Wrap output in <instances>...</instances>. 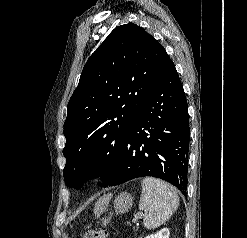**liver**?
Instances as JSON below:
<instances>
[{
	"label": "liver",
	"mask_w": 247,
	"mask_h": 238,
	"mask_svg": "<svg viewBox=\"0 0 247 238\" xmlns=\"http://www.w3.org/2000/svg\"><path fill=\"white\" fill-rule=\"evenodd\" d=\"M111 196H112L111 194H107L98 199V201L95 203V208H94L95 215H100L103 212L105 205L108 204Z\"/></svg>",
	"instance_id": "6515ba94"
}]
</instances>
